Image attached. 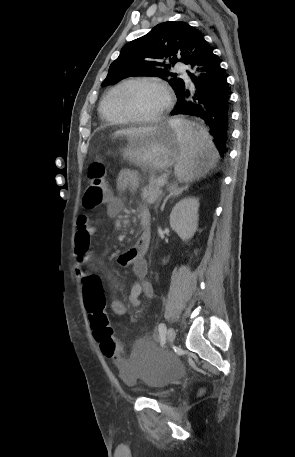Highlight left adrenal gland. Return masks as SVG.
Here are the masks:
<instances>
[{"label":"left adrenal gland","mask_w":295,"mask_h":457,"mask_svg":"<svg viewBox=\"0 0 295 457\" xmlns=\"http://www.w3.org/2000/svg\"><path fill=\"white\" fill-rule=\"evenodd\" d=\"M187 189H188V186H185V187H183V188H181V189H179V190H170V194H169V195L164 199V201H163V204H162V206H161V210L164 209L165 204H166V202L168 201L169 198L178 196V195H180L184 190H187ZM158 205H159V204H157V205L155 206V210H156V211H157Z\"/></svg>","instance_id":"1"}]
</instances>
